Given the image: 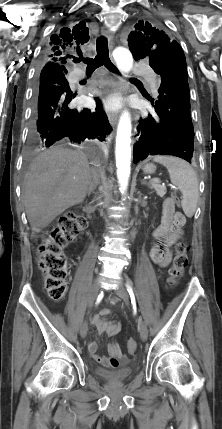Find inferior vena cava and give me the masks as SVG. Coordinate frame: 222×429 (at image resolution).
Masks as SVG:
<instances>
[{
	"instance_id": "inferior-vena-cava-1",
	"label": "inferior vena cava",
	"mask_w": 222,
	"mask_h": 429,
	"mask_svg": "<svg viewBox=\"0 0 222 429\" xmlns=\"http://www.w3.org/2000/svg\"><path fill=\"white\" fill-rule=\"evenodd\" d=\"M93 183H95L96 185L99 183V170L97 169H93Z\"/></svg>"
}]
</instances>
